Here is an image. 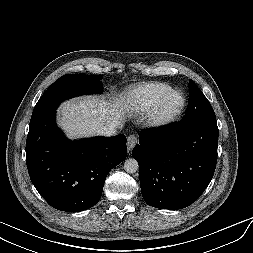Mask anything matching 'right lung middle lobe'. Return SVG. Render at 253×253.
I'll use <instances>...</instances> for the list:
<instances>
[{
    "label": "right lung middle lobe",
    "instance_id": "obj_1",
    "mask_svg": "<svg viewBox=\"0 0 253 253\" xmlns=\"http://www.w3.org/2000/svg\"><path fill=\"white\" fill-rule=\"evenodd\" d=\"M102 77L98 75L66 74L56 80L41 96L34 107L31 122L51 111H55L65 99L82 94L100 93Z\"/></svg>",
    "mask_w": 253,
    "mask_h": 253
}]
</instances>
